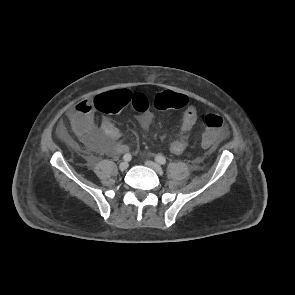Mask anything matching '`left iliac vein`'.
<instances>
[{"label":"left iliac vein","instance_id":"obj_1","mask_svg":"<svg viewBox=\"0 0 295 295\" xmlns=\"http://www.w3.org/2000/svg\"><path fill=\"white\" fill-rule=\"evenodd\" d=\"M145 164L148 167L152 168L158 174H162L163 173V169H162V167L158 163L153 162V161H146Z\"/></svg>","mask_w":295,"mask_h":295}]
</instances>
